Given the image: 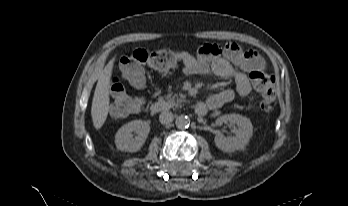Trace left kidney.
I'll return each instance as SVG.
<instances>
[{"label":"left kidney","mask_w":348,"mask_h":206,"mask_svg":"<svg viewBox=\"0 0 348 206\" xmlns=\"http://www.w3.org/2000/svg\"><path fill=\"white\" fill-rule=\"evenodd\" d=\"M223 123H232L237 126L235 136L225 137L218 133L214 139L216 146L224 152H233L245 147L253 133L251 121L239 114H228L217 118L216 125L221 126Z\"/></svg>","instance_id":"obj_1"}]
</instances>
